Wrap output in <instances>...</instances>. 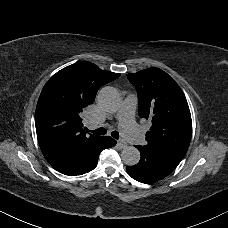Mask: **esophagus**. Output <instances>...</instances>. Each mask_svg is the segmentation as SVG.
<instances>
[{
  "label": "esophagus",
  "mask_w": 228,
  "mask_h": 228,
  "mask_svg": "<svg viewBox=\"0 0 228 228\" xmlns=\"http://www.w3.org/2000/svg\"><path fill=\"white\" fill-rule=\"evenodd\" d=\"M117 144L121 147H125L127 145V143L124 140H118Z\"/></svg>",
  "instance_id": "obj_1"
}]
</instances>
